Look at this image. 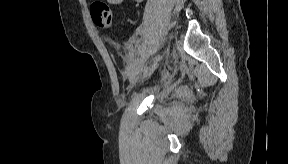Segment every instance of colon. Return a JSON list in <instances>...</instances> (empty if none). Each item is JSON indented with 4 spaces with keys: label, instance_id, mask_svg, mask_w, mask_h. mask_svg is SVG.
I'll return each instance as SVG.
<instances>
[{
    "label": "colon",
    "instance_id": "colon-1",
    "mask_svg": "<svg viewBox=\"0 0 288 164\" xmlns=\"http://www.w3.org/2000/svg\"><path fill=\"white\" fill-rule=\"evenodd\" d=\"M94 23L102 29L110 28L114 22V15L111 8L104 3H95L92 6Z\"/></svg>",
    "mask_w": 288,
    "mask_h": 164
}]
</instances>
